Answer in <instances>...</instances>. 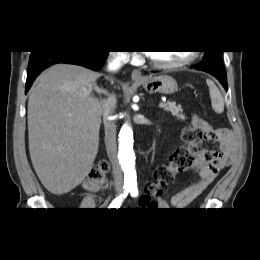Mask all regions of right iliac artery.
<instances>
[{
    "mask_svg": "<svg viewBox=\"0 0 260 260\" xmlns=\"http://www.w3.org/2000/svg\"><path fill=\"white\" fill-rule=\"evenodd\" d=\"M129 191H130L129 187H124V192L112 201L109 208L118 209L121 206L123 200L126 198Z\"/></svg>",
    "mask_w": 260,
    "mask_h": 260,
    "instance_id": "obj_1",
    "label": "right iliac artery"
}]
</instances>
